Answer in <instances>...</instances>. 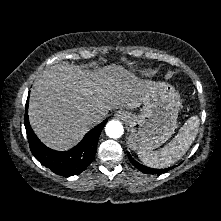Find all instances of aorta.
Segmentation results:
<instances>
[{
    "label": "aorta",
    "instance_id": "762f6f07",
    "mask_svg": "<svg viewBox=\"0 0 221 221\" xmlns=\"http://www.w3.org/2000/svg\"><path fill=\"white\" fill-rule=\"evenodd\" d=\"M105 132L108 137L117 139L123 135L124 129L119 121L112 120L107 123L105 127Z\"/></svg>",
    "mask_w": 221,
    "mask_h": 221
}]
</instances>
